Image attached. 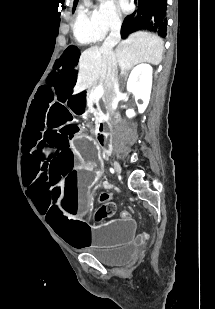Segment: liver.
<instances>
[{"label": "liver", "instance_id": "liver-1", "mask_svg": "<svg viewBox=\"0 0 215 309\" xmlns=\"http://www.w3.org/2000/svg\"><path fill=\"white\" fill-rule=\"evenodd\" d=\"M164 40L154 32L137 30L129 34L128 38L117 44L114 52L122 70H129L140 62L159 64L162 60ZM107 64L105 52L99 46H90L81 52L79 58V72L73 94L82 92L93 86L97 80H105Z\"/></svg>", "mask_w": 215, "mask_h": 309}]
</instances>
